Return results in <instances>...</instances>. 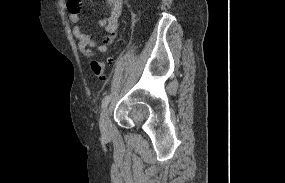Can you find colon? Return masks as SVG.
Listing matches in <instances>:
<instances>
[{"mask_svg":"<svg viewBox=\"0 0 285 183\" xmlns=\"http://www.w3.org/2000/svg\"><path fill=\"white\" fill-rule=\"evenodd\" d=\"M75 0H68V4H69V9L71 11H76V7L74 5H72V2ZM109 60L107 61H92L90 63V68L91 71L93 73V75L98 78V79H104L105 77V67L106 64Z\"/></svg>","mask_w":285,"mask_h":183,"instance_id":"5ec220e1","label":"colon"}]
</instances>
